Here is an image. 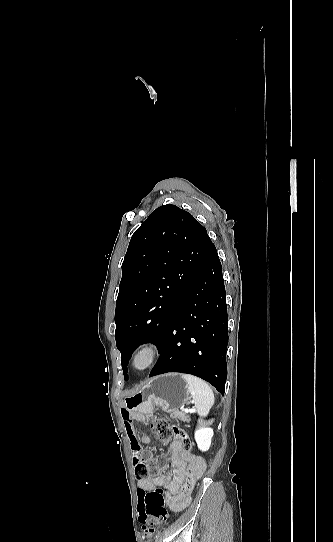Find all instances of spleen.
Listing matches in <instances>:
<instances>
[{
    "instance_id": "3e777b00",
    "label": "spleen",
    "mask_w": 333,
    "mask_h": 542,
    "mask_svg": "<svg viewBox=\"0 0 333 542\" xmlns=\"http://www.w3.org/2000/svg\"><path fill=\"white\" fill-rule=\"evenodd\" d=\"M181 378L188 386L190 398H192V402L195 404L198 416L207 418L214 404V394L210 386L204 380H200L196 376H191V374H181Z\"/></svg>"
}]
</instances>
